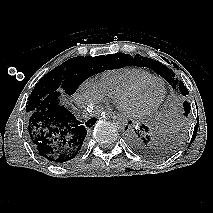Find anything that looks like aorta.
Returning <instances> with one entry per match:
<instances>
[{"label":"aorta","mask_w":213,"mask_h":213,"mask_svg":"<svg viewBox=\"0 0 213 213\" xmlns=\"http://www.w3.org/2000/svg\"><path fill=\"white\" fill-rule=\"evenodd\" d=\"M113 124L116 128L124 130L128 125V119L123 114H117L113 116Z\"/></svg>","instance_id":"obj_1"}]
</instances>
